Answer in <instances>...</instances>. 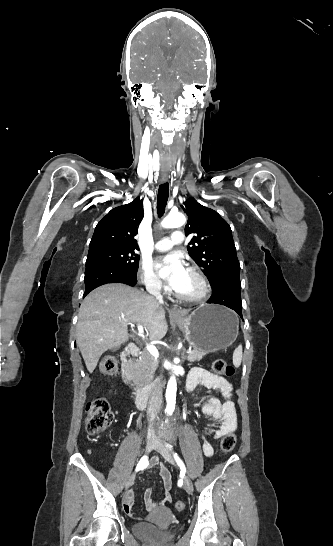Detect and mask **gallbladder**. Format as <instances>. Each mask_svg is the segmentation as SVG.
<instances>
[{"instance_id": "obj_1", "label": "gallbladder", "mask_w": 333, "mask_h": 546, "mask_svg": "<svg viewBox=\"0 0 333 546\" xmlns=\"http://www.w3.org/2000/svg\"><path fill=\"white\" fill-rule=\"evenodd\" d=\"M118 347L114 348L113 351L117 350Z\"/></svg>"}]
</instances>
